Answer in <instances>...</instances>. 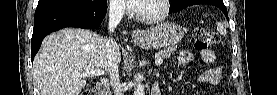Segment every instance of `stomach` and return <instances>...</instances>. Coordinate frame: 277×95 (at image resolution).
Here are the masks:
<instances>
[{
    "label": "stomach",
    "mask_w": 277,
    "mask_h": 95,
    "mask_svg": "<svg viewBox=\"0 0 277 95\" xmlns=\"http://www.w3.org/2000/svg\"><path fill=\"white\" fill-rule=\"evenodd\" d=\"M184 29L174 23L158 24L143 32L141 38H136L137 45L145 49H160L171 47L182 40Z\"/></svg>",
    "instance_id": "stomach-1"
}]
</instances>
